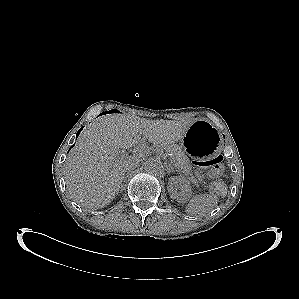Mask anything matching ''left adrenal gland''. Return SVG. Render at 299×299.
<instances>
[{
	"label": "left adrenal gland",
	"mask_w": 299,
	"mask_h": 299,
	"mask_svg": "<svg viewBox=\"0 0 299 299\" xmlns=\"http://www.w3.org/2000/svg\"><path fill=\"white\" fill-rule=\"evenodd\" d=\"M168 172H175L174 168L172 165H168Z\"/></svg>",
	"instance_id": "left-adrenal-gland-1"
}]
</instances>
